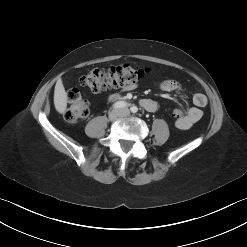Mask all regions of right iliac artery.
<instances>
[{
  "instance_id": "right-iliac-artery-1",
  "label": "right iliac artery",
  "mask_w": 247,
  "mask_h": 247,
  "mask_svg": "<svg viewBox=\"0 0 247 247\" xmlns=\"http://www.w3.org/2000/svg\"><path fill=\"white\" fill-rule=\"evenodd\" d=\"M128 106V104L124 101H118L115 104H113V109L123 108Z\"/></svg>"
}]
</instances>
